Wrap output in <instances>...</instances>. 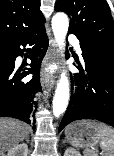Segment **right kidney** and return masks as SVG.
<instances>
[{
    "instance_id": "obj_1",
    "label": "right kidney",
    "mask_w": 114,
    "mask_h": 156,
    "mask_svg": "<svg viewBox=\"0 0 114 156\" xmlns=\"http://www.w3.org/2000/svg\"><path fill=\"white\" fill-rule=\"evenodd\" d=\"M27 155H28V146L25 143H22L9 149L6 156H27Z\"/></svg>"
}]
</instances>
